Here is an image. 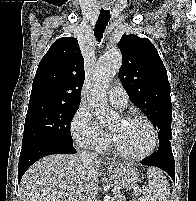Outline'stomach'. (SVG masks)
<instances>
[{
	"label": "stomach",
	"instance_id": "0dacf381",
	"mask_svg": "<svg viewBox=\"0 0 196 201\" xmlns=\"http://www.w3.org/2000/svg\"><path fill=\"white\" fill-rule=\"evenodd\" d=\"M110 173L120 186L128 190L135 189L140 181V174L135 168L129 166H120L113 169Z\"/></svg>",
	"mask_w": 196,
	"mask_h": 201
}]
</instances>
